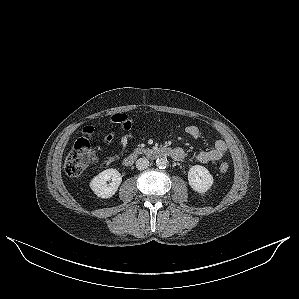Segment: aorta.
Masks as SVG:
<instances>
[{"instance_id":"1","label":"aorta","mask_w":299,"mask_h":299,"mask_svg":"<svg viewBox=\"0 0 299 299\" xmlns=\"http://www.w3.org/2000/svg\"><path fill=\"white\" fill-rule=\"evenodd\" d=\"M156 166L160 169H164L167 166V159L160 157L156 160Z\"/></svg>"}]
</instances>
